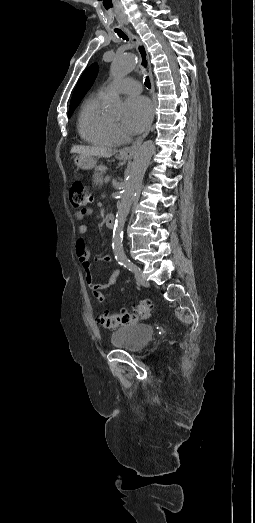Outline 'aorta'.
<instances>
[{
  "label": "aorta",
  "mask_w": 255,
  "mask_h": 523,
  "mask_svg": "<svg viewBox=\"0 0 255 523\" xmlns=\"http://www.w3.org/2000/svg\"><path fill=\"white\" fill-rule=\"evenodd\" d=\"M136 66V58L132 54H125L116 58L110 69V74L114 79H120L130 73ZM121 99L119 95L113 94L108 101V110L112 113H119L121 110ZM155 150L153 141L144 142L136 152L134 160L125 182V188L121 196V202L116 213V219L113 229L112 247L115 258L119 261L126 259L123 249V229L134 201L135 194L140 187L144 174L148 168L149 162Z\"/></svg>",
  "instance_id": "aorta-1"
}]
</instances>
